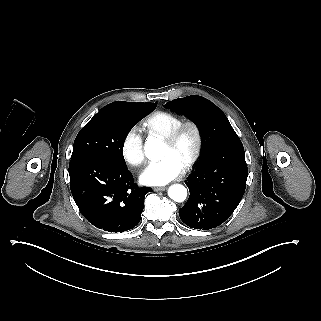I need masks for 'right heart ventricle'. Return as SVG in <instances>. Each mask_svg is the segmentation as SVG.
<instances>
[{
  "mask_svg": "<svg viewBox=\"0 0 321 321\" xmlns=\"http://www.w3.org/2000/svg\"><path fill=\"white\" fill-rule=\"evenodd\" d=\"M182 122L184 119L178 115L166 111H156L146 118L145 125L150 134L162 137L169 134Z\"/></svg>",
  "mask_w": 321,
  "mask_h": 321,
  "instance_id": "1",
  "label": "right heart ventricle"
}]
</instances>
